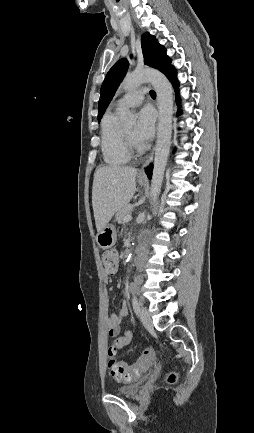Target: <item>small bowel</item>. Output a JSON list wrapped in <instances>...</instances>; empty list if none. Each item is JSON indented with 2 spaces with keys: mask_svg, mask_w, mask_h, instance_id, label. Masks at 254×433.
Returning <instances> with one entry per match:
<instances>
[{
  "mask_svg": "<svg viewBox=\"0 0 254 433\" xmlns=\"http://www.w3.org/2000/svg\"><path fill=\"white\" fill-rule=\"evenodd\" d=\"M107 281V280H106ZM128 314V305L127 303H122L119 311L111 316H106L104 319V329L111 337H117L114 345L116 348L121 349L127 345H129L134 337V334L130 330H126L123 332L122 335H120V324L122 322V319ZM147 352L152 353V350H147Z\"/></svg>",
  "mask_w": 254,
  "mask_h": 433,
  "instance_id": "1",
  "label": "small bowel"
}]
</instances>
